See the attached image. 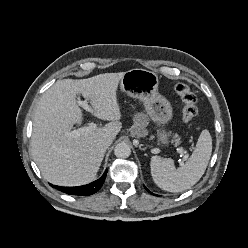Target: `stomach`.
I'll use <instances>...</instances> for the list:
<instances>
[{
  "label": "stomach",
  "mask_w": 248,
  "mask_h": 248,
  "mask_svg": "<svg viewBox=\"0 0 248 248\" xmlns=\"http://www.w3.org/2000/svg\"><path fill=\"white\" fill-rule=\"evenodd\" d=\"M159 78L156 73L145 69H131L120 81L121 90L143 102L147 116L159 126L167 124L173 116L170 101L158 92ZM171 134L164 128L157 130L158 143L168 145Z\"/></svg>",
  "instance_id": "0dacf381"
}]
</instances>
